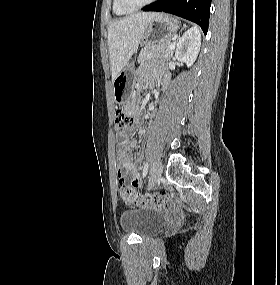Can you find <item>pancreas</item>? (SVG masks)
I'll use <instances>...</instances> for the list:
<instances>
[{"instance_id":"cf45deb5","label":"pancreas","mask_w":280,"mask_h":285,"mask_svg":"<svg viewBox=\"0 0 280 285\" xmlns=\"http://www.w3.org/2000/svg\"><path fill=\"white\" fill-rule=\"evenodd\" d=\"M171 44V39H167L145 47L140 53L138 61L143 62L151 58H162L169 60L173 54V50L169 49Z\"/></svg>"}]
</instances>
